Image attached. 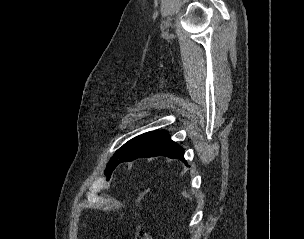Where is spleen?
<instances>
[{"label": "spleen", "mask_w": 304, "mask_h": 239, "mask_svg": "<svg viewBox=\"0 0 304 239\" xmlns=\"http://www.w3.org/2000/svg\"><path fill=\"white\" fill-rule=\"evenodd\" d=\"M182 194L185 198L191 199L190 195L186 191H183Z\"/></svg>", "instance_id": "1"}]
</instances>
